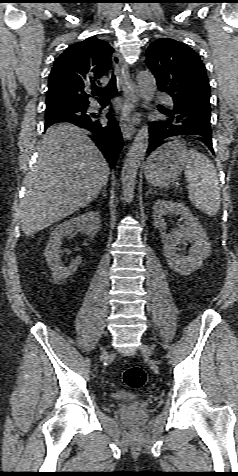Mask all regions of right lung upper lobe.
<instances>
[{
  "instance_id": "right-lung-upper-lobe-1",
  "label": "right lung upper lobe",
  "mask_w": 238,
  "mask_h": 476,
  "mask_svg": "<svg viewBox=\"0 0 238 476\" xmlns=\"http://www.w3.org/2000/svg\"><path fill=\"white\" fill-rule=\"evenodd\" d=\"M113 48L95 37L69 46L55 61L49 76L47 104L88 107L90 89L111 68Z\"/></svg>"
}]
</instances>
